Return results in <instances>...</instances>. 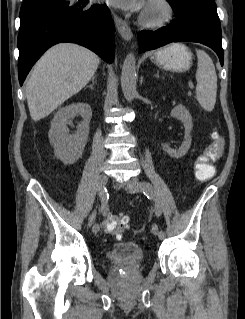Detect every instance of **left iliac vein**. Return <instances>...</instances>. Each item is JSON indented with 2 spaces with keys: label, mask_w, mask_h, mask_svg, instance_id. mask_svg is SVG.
I'll return each mask as SVG.
<instances>
[{
  "label": "left iliac vein",
  "mask_w": 245,
  "mask_h": 319,
  "mask_svg": "<svg viewBox=\"0 0 245 319\" xmlns=\"http://www.w3.org/2000/svg\"><path fill=\"white\" fill-rule=\"evenodd\" d=\"M139 180L137 178H131L125 186L126 191L130 193H136L139 191ZM152 232L154 235H157L160 239L164 238L158 231V227L156 225L152 226Z\"/></svg>",
  "instance_id": "4c4485c4"
}]
</instances>
